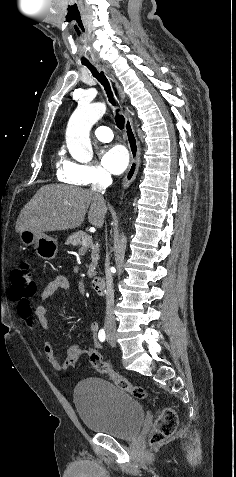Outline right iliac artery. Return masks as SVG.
Wrapping results in <instances>:
<instances>
[{"instance_id":"right-iliac-artery-1","label":"right iliac artery","mask_w":236,"mask_h":477,"mask_svg":"<svg viewBox=\"0 0 236 477\" xmlns=\"http://www.w3.org/2000/svg\"><path fill=\"white\" fill-rule=\"evenodd\" d=\"M98 338L101 342H104L105 339H106V334H105V331L104 329H101L98 333Z\"/></svg>"}]
</instances>
